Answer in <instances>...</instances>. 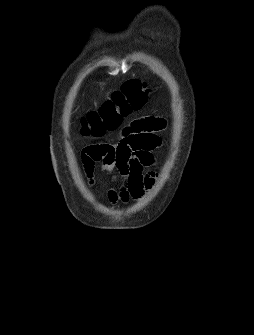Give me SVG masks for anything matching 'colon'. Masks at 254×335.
Returning <instances> with one entry per match:
<instances>
[{"label":"colon","mask_w":254,"mask_h":335,"mask_svg":"<svg viewBox=\"0 0 254 335\" xmlns=\"http://www.w3.org/2000/svg\"><path fill=\"white\" fill-rule=\"evenodd\" d=\"M147 99L146 85L139 80L127 81L121 90L115 91L97 111L89 112L83 118L82 133L99 137L116 130L123 117L141 109ZM127 136V135H122Z\"/></svg>","instance_id":"5ec220e1"}]
</instances>
